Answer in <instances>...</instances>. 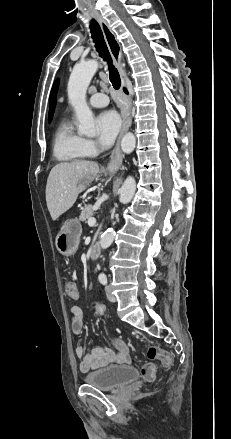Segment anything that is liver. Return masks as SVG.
<instances>
[{
	"label": "liver",
	"mask_w": 231,
	"mask_h": 439,
	"mask_svg": "<svg viewBox=\"0 0 231 439\" xmlns=\"http://www.w3.org/2000/svg\"><path fill=\"white\" fill-rule=\"evenodd\" d=\"M98 172L96 162L84 160L59 163L51 169L46 185V203L52 220L73 206Z\"/></svg>",
	"instance_id": "obj_1"
}]
</instances>
